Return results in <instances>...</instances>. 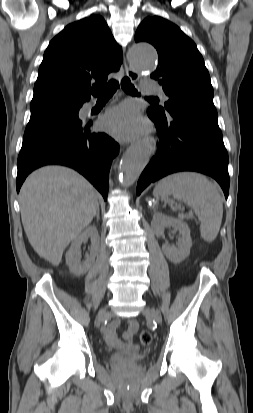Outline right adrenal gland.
<instances>
[{
  "label": "right adrenal gland",
  "mask_w": 253,
  "mask_h": 413,
  "mask_svg": "<svg viewBox=\"0 0 253 413\" xmlns=\"http://www.w3.org/2000/svg\"><path fill=\"white\" fill-rule=\"evenodd\" d=\"M96 219L97 220H99V218H100V210H99V207H98V209H97V212H96Z\"/></svg>",
  "instance_id": "1"
}]
</instances>
